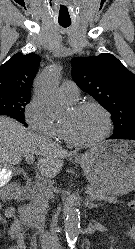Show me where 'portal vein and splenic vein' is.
I'll return each mask as SVG.
<instances>
[{"label":"portal vein and splenic vein","mask_w":135,"mask_h":249,"mask_svg":"<svg viewBox=\"0 0 135 249\" xmlns=\"http://www.w3.org/2000/svg\"><path fill=\"white\" fill-rule=\"evenodd\" d=\"M26 161L28 164H32L34 162L33 157H26ZM36 188L41 191H48L47 186L42 183L36 182Z\"/></svg>","instance_id":"18ae733b"}]
</instances>
